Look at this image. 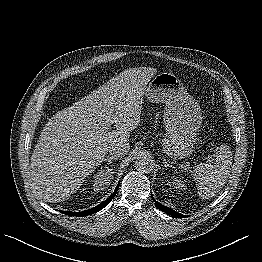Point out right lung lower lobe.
<instances>
[{
	"instance_id": "right-lung-lower-lobe-1",
	"label": "right lung lower lobe",
	"mask_w": 262,
	"mask_h": 262,
	"mask_svg": "<svg viewBox=\"0 0 262 262\" xmlns=\"http://www.w3.org/2000/svg\"><path fill=\"white\" fill-rule=\"evenodd\" d=\"M119 184L117 185L115 191L113 192V194H111V196L109 198H107L105 201H103L101 204L95 206L92 209L89 210H85L82 212H68V211H61L62 213L66 214V215H70V216H88L90 214H94L96 212H98L99 210L103 209L115 196L117 190H118Z\"/></svg>"
}]
</instances>
